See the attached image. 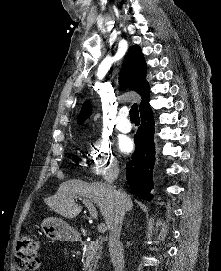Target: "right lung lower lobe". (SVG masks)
<instances>
[{"label": "right lung lower lobe", "mask_w": 221, "mask_h": 271, "mask_svg": "<svg viewBox=\"0 0 221 271\" xmlns=\"http://www.w3.org/2000/svg\"><path fill=\"white\" fill-rule=\"evenodd\" d=\"M140 116L141 126L134 137L136 148L132 161L127 165L126 177L135 195L141 199L151 200L152 169L155 162L154 117L151 108L141 112Z\"/></svg>", "instance_id": "1"}]
</instances>
